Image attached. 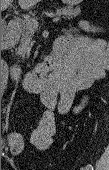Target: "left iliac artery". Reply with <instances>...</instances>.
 I'll return each instance as SVG.
<instances>
[{
  "label": "left iliac artery",
  "instance_id": "1",
  "mask_svg": "<svg viewBox=\"0 0 109 170\" xmlns=\"http://www.w3.org/2000/svg\"><path fill=\"white\" fill-rule=\"evenodd\" d=\"M81 170H90V166H86L84 169L82 168Z\"/></svg>",
  "mask_w": 109,
  "mask_h": 170
}]
</instances>
